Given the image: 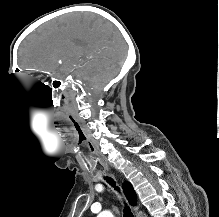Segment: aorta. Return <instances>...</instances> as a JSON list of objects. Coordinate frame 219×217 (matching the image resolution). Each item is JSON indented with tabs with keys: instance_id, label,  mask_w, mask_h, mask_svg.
I'll return each instance as SVG.
<instances>
[{
	"instance_id": "aorta-1",
	"label": "aorta",
	"mask_w": 219,
	"mask_h": 217,
	"mask_svg": "<svg viewBox=\"0 0 219 217\" xmlns=\"http://www.w3.org/2000/svg\"><path fill=\"white\" fill-rule=\"evenodd\" d=\"M97 217H114L110 211H103Z\"/></svg>"
}]
</instances>
